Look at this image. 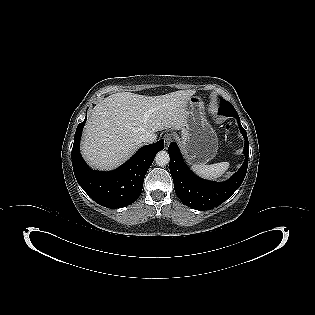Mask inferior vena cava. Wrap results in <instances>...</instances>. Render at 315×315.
Here are the masks:
<instances>
[{"instance_id": "inferior-vena-cava-1", "label": "inferior vena cava", "mask_w": 315, "mask_h": 315, "mask_svg": "<svg viewBox=\"0 0 315 315\" xmlns=\"http://www.w3.org/2000/svg\"><path fill=\"white\" fill-rule=\"evenodd\" d=\"M156 139H157L156 134L148 133V134L142 135V137L140 138V142L143 144H150V143H154Z\"/></svg>"}]
</instances>
